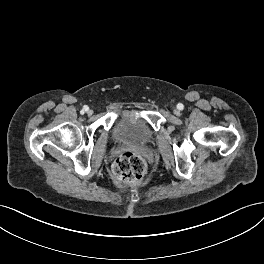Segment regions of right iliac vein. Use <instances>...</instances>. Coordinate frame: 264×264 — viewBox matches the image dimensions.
Returning <instances> with one entry per match:
<instances>
[{
    "mask_svg": "<svg viewBox=\"0 0 264 264\" xmlns=\"http://www.w3.org/2000/svg\"><path fill=\"white\" fill-rule=\"evenodd\" d=\"M87 114L90 116V115L93 114V111H92V110H88V111H87Z\"/></svg>",
    "mask_w": 264,
    "mask_h": 264,
    "instance_id": "obj_1",
    "label": "right iliac vein"
}]
</instances>
